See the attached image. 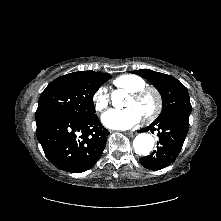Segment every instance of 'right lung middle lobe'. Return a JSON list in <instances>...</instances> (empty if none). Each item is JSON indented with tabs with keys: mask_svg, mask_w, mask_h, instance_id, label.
<instances>
[{
	"mask_svg": "<svg viewBox=\"0 0 221 221\" xmlns=\"http://www.w3.org/2000/svg\"><path fill=\"white\" fill-rule=\"evenodd\" d=\"M110 78L107 73L90 76L74 72L55 79L40 96L37 125L57 117L94 116L93 96Z\"/></svg>",
	"mask_w": 221,
	"mask_h": 221,
	"instance_id": "right-lung-middle-lobe-1",
	"label": "right lung middle lobe"
}]
</instances>
